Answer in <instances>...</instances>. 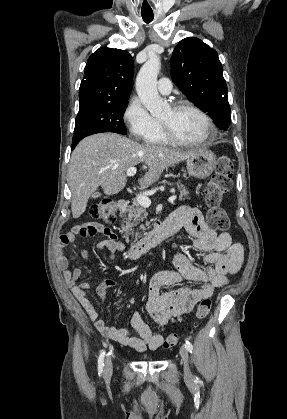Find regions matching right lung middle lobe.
Wrapping results in <instances>:
<instances>
[{
	"mask_svg": "<svg viewBox=\"0 0 287 419\" xmlns=\"http://www.w3.org/2000/svg\"><path fill=\"white\" fill-rule=\"evenodd\" d=\"M128 101L109 102L79 110L72 139V148L86 136L100 132L126 134L123 115Z\"/></svg>",
	"mask_w": 287,
	"mask_h": 419,
	"instance_id": "right-lung-middle-lobe-1",
	"label": "right lung middle lobe"
}]
</instances>
